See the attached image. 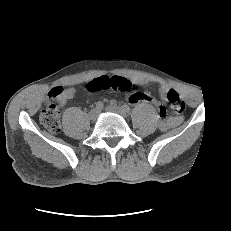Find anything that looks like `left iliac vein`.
I'll return each mask as SVG.
<instances>
[{"instance_id":"left-iliac-vein-1","label":"left iliac vein","mask_w":231,"mask_h":231,"mask_svg":"<svg viewBox=\"0 0 231 231\" xmlns=\"http://www.w3.org/2000/svg\"><path fill=\"white\" fill-rule=\"evenodd\" d=\"M105 110L109 112H114V113L120 114L123 117H126V112L119 106L109 105L105 108Z\"/></svg>"}]
</instances>
